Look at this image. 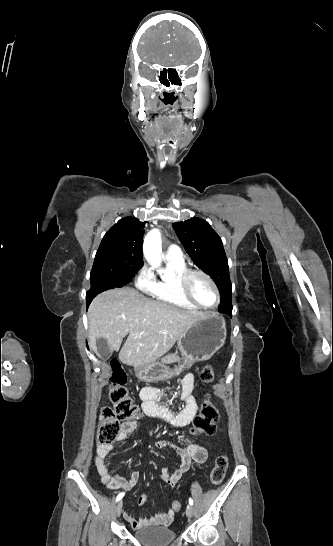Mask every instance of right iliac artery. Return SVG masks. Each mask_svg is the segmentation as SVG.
Returning a JSON list of instances; mask_svg holds the SVG:
<instances>
[{
    "mask_svg": "<svg viewBox=\"0 0 333 546\" xmlns=\"http://www.w3.org/2000/svg\"><path fill=\"white\" fill-rule=\"evenodd\" d=\"M123 496H124V493H123V492L120 493V494H118V496L116 497V501L121 500V499L123 498Z\"/></svg>",
    "mask_w": 333,
    "mask_h": 546,
    "instance_id": "1",
    "label": "right iliac artery"
}]
</instances>
